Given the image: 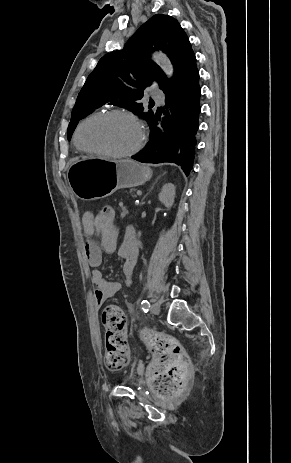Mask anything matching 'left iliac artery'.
Returning <instances> with one entry per match:
<instances>
[{
    "mask_svg": "<svg viewBox=\"0 0 291 463\" xmlns=\"http://www.w3.org/2000/svg\"><path fill=\"white\" fill-rule=\"evenodd\" d=\"M141 307H142V310L146 313L149 311V308H150V303L148 300H142L141 302Z\"/></svg>",
    "mask_w": 291,
    "mask_h": 463,
    "instance_id": "obj_1",
    "label": "left iliac artery"
}]
</instances>
